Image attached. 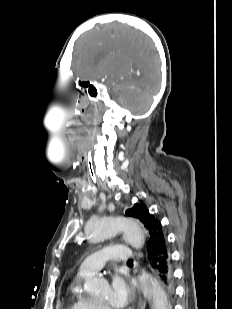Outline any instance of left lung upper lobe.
I'll return each instance as SVG.
<instances>
[{
    "instance_id": "left-lung-upper-lobe-1",
    "label": "left lung upper lobe",
    "mask_w": 232,
    "mask_h": 309,
    "mask_svg": "<svg viewBox=\"0 0 232 309\" xmlns=\"http://www.w3.org/2000/svg\"><path fill=\"white\" fill-rule=\"evenodd\" d=\"M125 215L136 218L142 223V225L144 226L147 232L148 241L153 235L156 225L160 223L159 220L154 217V215L149 213L146 205H142V204H135L132 208L127 209L125 212ZM167 292L169 294L172 293L170 291H167Z\"/></svg>"
}]
</instances>
